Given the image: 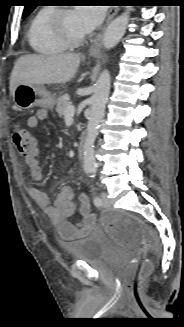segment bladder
<instances>
[{"label": "bladder", "instance_id": "31cf9c89", "mask_svg": "<svg viewBox=\"0 0 184 327\" xmlns=\"http://www.w3.org/2000/svg\"><path fill=\"white\" fill-rule=\"evenodd\" d=\"M65 248L74 261L91 263L97 260L102 253L111 251L113 243L107 234L95 229L86 237L66 244Z\"/></svg>", "mask_w": 184, "mask_h": 327}]
</instances>
